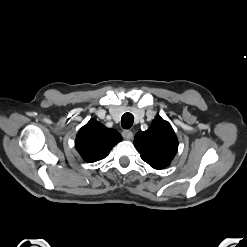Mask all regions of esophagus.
Returning <instances> with one entry per match:
<instances>
[{"instance_id":"esophagus-1","label":"esophagus","mask_w":247,"mask_h":247,"mask_svg":"<svg viewBox=\"0 0 247 247\" xmlns=\"http://www.w3.org/2000/svg\"><path fill=\"white\" fill-rule=\"evenodd\" d=\"M122 136H123V138L126 139V140H131V139L133 138V133H132V131H130V130H124V131L122 132Z\"/></svg>"}]
</instances>
